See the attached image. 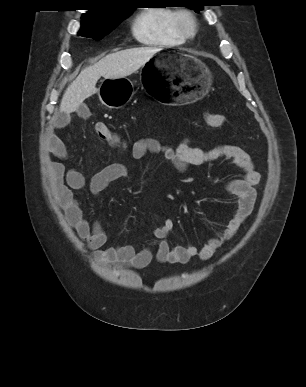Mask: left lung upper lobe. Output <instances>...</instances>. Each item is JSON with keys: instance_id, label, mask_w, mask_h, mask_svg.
Segmentation results:
<instances>
[{"instance_id": "1", "label": "left lung upper lobe", "mask_w": 306, "mask_h": 387, "mask_svg": "<svg viewBox=\"0 0 306 387\" xmlns=\"http://www.w3.org/2000/svg\"><path fill=\"white\" fill-rule=\"evenodd\" d=\"M195 2L194 5L188 6L192 9H194L196 12H199L203 9L204 0H193Z\"/></svg>"}]
</instances>
